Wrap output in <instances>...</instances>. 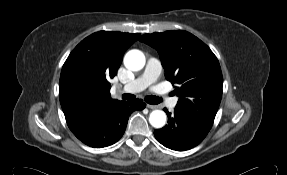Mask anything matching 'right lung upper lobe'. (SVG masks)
Here are the masks:
<instances>
[{"label": "right lung upper lobe", "instance_id": "obj_1", "mask_svg": "<svg viewBox=\"0 0 287 175\" xmlns=\"http://www.w3.org/2000/svg\"><path fill=\"white\" fill-rule=\"evenodd\" d=\"M140 34L99 31L81 41L65 61L59 99L70 130L92 121L112 104L110 79L125 50Z\"/></svg>", "mask_w": 287, "mask_h": 175}]
</instances>
